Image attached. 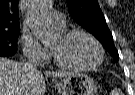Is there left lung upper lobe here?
Wrapping results in <instances>:
<instances>
[{"mask_svg":"<svg viewBox=\"0 0 135 95\" xmlns=\"http://www.w3.org/2000/svg\"><path fill=\"white\" fill-rule=\"evenodd\" d=\"M72 18L88 32L94 35L118 60V51L114 46L112 34L97 0H66Z\"/></svg>","mask_w":135,"mask_h":95,"instance_id":"left-lung-upper-lobe-1","label":"left lung upper lobe"}]
</instances>
